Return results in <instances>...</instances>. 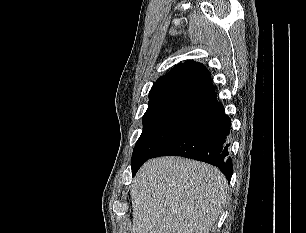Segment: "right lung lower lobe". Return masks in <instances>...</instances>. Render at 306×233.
I'll return each instance as SVG.
<instances>
[{
    "instance_id": "right-lung-lower-lobe-1",
    "label": "right lung lower lobe",
    "mask_w": 306,
    "mask_h": 233,
    "mask_svg": "<svg viewBox=\"0 0 306 233\" xmlns=\"http://www.w3.org/2000/svg\"><path fill=\"white\" fill-rule=\"evenodd\" d=\"M231 119L222 103L204 108L152 156L177 155L217 166L230 181L233 165L229 157ZM139 169V168H138ZM135 171L132 172L134 176Z\"/></svg>"
}]
</instances>
